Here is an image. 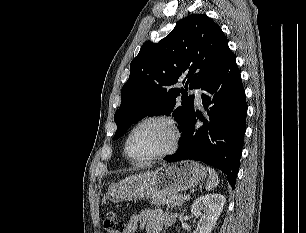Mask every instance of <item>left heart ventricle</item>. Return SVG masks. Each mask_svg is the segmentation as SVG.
<instances>
[{
  "label": "left heart ventricle",
  "instance_id": "obj_1",
  "mask_svg": "<svg viewBox=\"0 0 306 233\" xmlns=\"http://www.w3.org/2000/svg\"><path fill=\"white\" fill-rule=\"evenodd\" d=\"M172 143L169 126L160 121L139 127L129 141V153L134 158H144L167 150Z\"/></svg>",
  "mask_w": 306,
  "mask_h": 233
}]
</instances>
